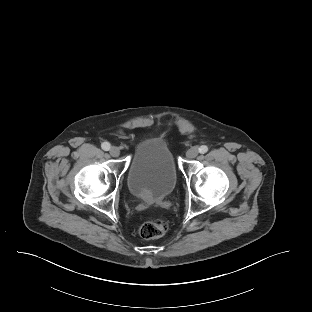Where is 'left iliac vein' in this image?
I'll list each match as a JSON object with an SVG mask.
<instances>
[{
	"instance_id": "1",
	"label": "left iliac vein",
	"mask_w": 312,
	"mask_h": 312,
	"mask_svg": "<svg viewBox=\"0 0 312 312\" xmlns=\"http://www.w3.org/2000/svg\"><path fill=\"white\" fill-rule=\"evenodd\" d=\"M199 153V149L197 147H191L187 152H186V156L189 159H193L195 158Z\"/></svg>"
}]
</instances>
